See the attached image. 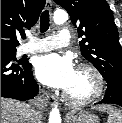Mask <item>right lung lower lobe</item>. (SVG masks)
<instances>
[{
	"label": "right lung lower lobe",
	"mask_w": 122,
	"mask_h": 123,
	"mask_svg": "<svg viewBox=\"0 0 122 123\" xmlns=\"http://www.w3.org/2000/svg\"><path fill=\"white\" fill-rule=\"evenodd\" d=\"M27 61L16 59L1 52V97L20 101L34 98L38 93V84Z\"/></svg>",
	"instance_id": "obj_1"
}]
</instances>
